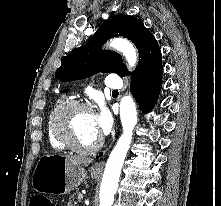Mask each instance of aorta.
<instances>
[{"label":"aorta","instance_id":"obj_1","mask_svg":"<svg viewBox=\"0 0 221 206\" xmlns=\"http://www.w3.org/2000/svg\"><path fill=\"white\" fill-rule=\"evenodd\" d=\"M109 47L123 53L130 69L135 67L137 53L132 43L123 38H114L110 40ZM120 119L123 133L106 163L99 192V206H111L113 203L121 169L131 144L133 129L137 124L136 106L131 96H124L121 99Z\"/></svg>","mask_w":221,"mask_h":206}]
</instances>
